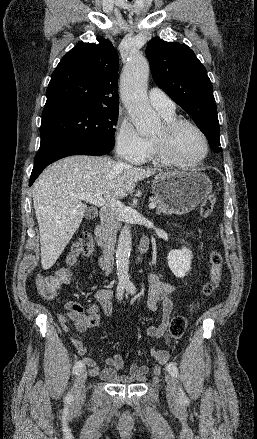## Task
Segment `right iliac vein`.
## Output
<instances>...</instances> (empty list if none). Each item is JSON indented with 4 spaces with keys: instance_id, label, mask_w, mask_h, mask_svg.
Listing matches in <instances>:
<instances>
[{
    "instance_id": "obj_1",
    "label": "right iliac vein",
    "mask_w": 257,
    "mask_h": 439,
    "mask_svg": "<svg viewBox=\"0 0 257 439\" xmlns=\"http://www.w3.org/2000/svg\"><path fill=\"white\" fill-rule=\"evenodd\" d=\"M87 378L86 369L81 370L75 380V399L77 401H83L86 396L85 382Z\"/></svg>"
}]
</instances>
